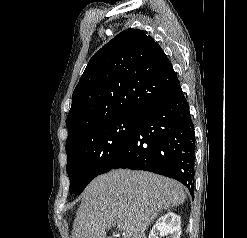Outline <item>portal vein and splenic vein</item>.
I'll return each mask as SVG.
<instances>
[{
    "instance_id": "18ae733b",
    "label": "portal vein and splenic vein",
    "mask_w": 247,
    "mask_h": 238,
    "mask_svg": "<svg viewBox=\"0 0 247 238\" xmlns=\"http://www.w3.org/2000/svg\"><path fill=\"white\" fill-rule=\"evenodd\" d=\"M117 227H118V228H121V226H120V225H117Z\"/></svg>"
}]
</instances>
